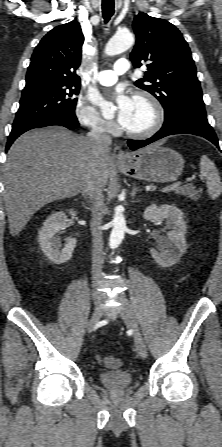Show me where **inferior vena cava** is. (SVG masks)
I'll return each mask as SVG.
<instances>
[{
    "label": "inferior vena cava",
    "instance_id": "obj_1",
    "mask_svg": "<svg viewBox=\"0 0 222 447\" xmlns=\"http://www.w3.org/2000/svg\"><path fill=\"white\" fill-rule=\"evenodd\" d=\"M87 137L93 143V151L97 156H102L110 151L111 137L107 133L92 128ZM103 184L96 174L88 176L84 181L83 194L89 196L92 203L91 234L93 242L92 250V279L95 284L101 278L103 263V234L99 228L103 219Z\"/></svg>",
    "mask_w": 222,
    "mask_h": 447
}]
</instances>
